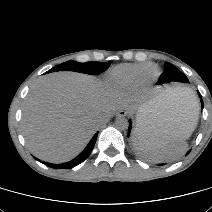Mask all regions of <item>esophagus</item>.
<instances>
[{"instance_id":"esophagus-1","label":"esophagus","mask_w":212,"mask_h":212,"mask_svg":"<svg viewBox=\"0 0 212 212\" xmlns=\"http://www.w3.org/2000/svg\"><path fill=\"white\" fill-rule=\"evenodd\" d=\"M126 112L123 110V109H120L117 113H116V116L118 117H123V116H126Z\"/></svg>"}]
</instances>
